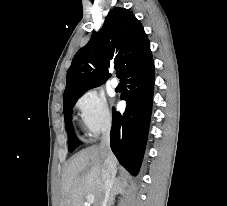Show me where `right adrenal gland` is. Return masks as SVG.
I'll return each instance as SVG.
<instances>
[{
  "label": "right adrenal gland",
  "mask_w": 227,
  "mask_h": 206,
  "mask_svg": "<svg viewBox=\"0 0 227 206\" xmlns=\"http://www.w3.org/2000/svg\"><path fill=\"white\" fill-rule=\"evenodd\" d=\"M120 182L116 181L113 188H112V191H111V194H110V198H109V202H108V206H112L114 204V199H115V195L117 194H122L124 191H123V188L120 187ZM126 184V182H124V185Z\"/></svg>",
  "instance_id": "obj_1"
}]
</instances>
